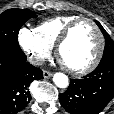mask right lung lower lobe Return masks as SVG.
I'll return each mask as SVG.
<instances>
[{
  "label": "right lung lower lobe",
  "mask_w": 114,
  "mask_h": 114,
  "mask_svg": "<svg viewBox=\"0 0 114 114\" xmlns=\"http://www.w3.org/2000/svg\"><path fill=\"white\" fill-rule=\"evenodd\" d=\"M43 78L39 68L26 62V55L0 53V114H16L29 103V85Z\"/></svg>",
  "instance_id": "1"
}]
</instances>
